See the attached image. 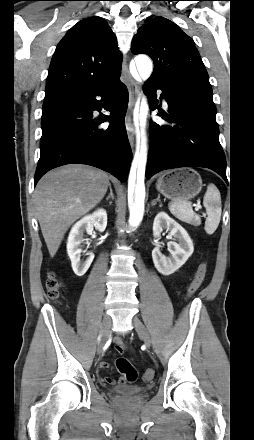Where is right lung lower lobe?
<instances>
[{
	"mask_svg": "<svg viewBox=\"0 0 254 440\" xmlns=\"http://www.w3.org/2000/svg\"><path fill=\"white\" fill-rule=\"evenodd\" d=\"M52 106L42 113L40 159L34 185L49 170L66 164H86L126 181L132 151L124 125L128 91L122 82L81 86L47 98ZM105 108L110 116H93ZM110 121V125H99Z\"/></svg>",
	"mask_w": 254,
	"mask_h": 440,
	"instance_id": "right-lung-lower-lobe-1",
	"label": "right lung lower lobe"
}]
</instances>
